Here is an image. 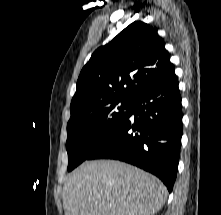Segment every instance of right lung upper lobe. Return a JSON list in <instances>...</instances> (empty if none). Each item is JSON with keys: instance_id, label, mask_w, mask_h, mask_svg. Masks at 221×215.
<instances>
[{"instance_id": "right-lung-upper-lobe-1", "label": "right lung upper lobe", "mask_w": 221, "mask_h": 215, "mask_svg": "<svg viewBox=\"0 0 221 215\" xmlns=\"http://www.w3.org/2000/svg\"><path fill=\"white\" fill-rule=\"evenodd\" d=\"M174 71L156 29L135 21L92 54L79 75L70 107L110 99L134 100Z\"/></svg>"}]
</instances>
